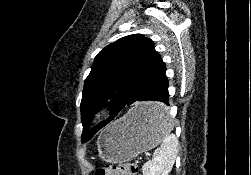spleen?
Masks as SVG:
<instances>
[{
	"label": "spleen",
	"mask_w": 251,
	"mask_h": 175,
	"mask_svg": "<svg viewBox=\"0 0 251 175\" xmlns=\"http://www.w3.org/2000/svg\"><path fill=\"white\" fill-rule=\"evenodd\" d=\"M152 117L154 121L160 123L164 139L162 145L155 149L153 159L143 165V175H168L178 153V139L175 133H171L173 123H171L170 115H167L166 109L159 107L153 111Z\"/></svg>",
	"instance_id": "spleen-1"
}]
</instances>
